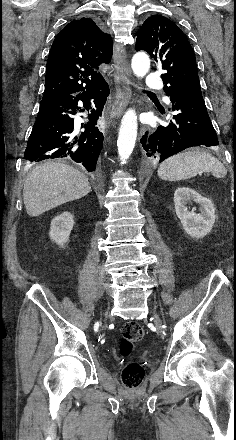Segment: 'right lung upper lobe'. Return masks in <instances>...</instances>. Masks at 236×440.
Returning a JSON list of instances; mask_svg holds the SVG:
<instances>
[{
  "label": "right lung upper lobe",
  "instance_id": "1",
  "mask_svg": "<svg viewBox=\"0 0 236 440\" xmlns=\"http://www.w3.org/2000/svg\"><path fill=\"white\" fill-rule=\"evenodd\" d=\"M112 47L110 35L92 19L81 18L67 24L50 49L43 99L100 87L105 81L98 69L110 62Z\"/></svg>",
  "mask_w": 236,
  "mask_h": 440
}]
</instances>
